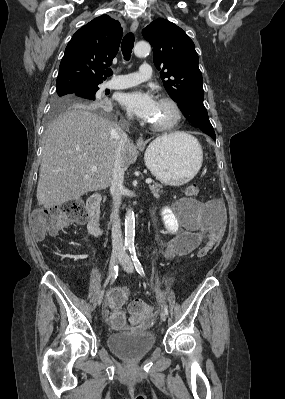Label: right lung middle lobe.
I'll list each match as a JSON object with an SVG mask.
<instances>
[{
	"label": "right lung middle lobe",
	"instance_id": "1",
	"mask_svg": "<svg viewBox=\"0 0 285 399\" xmlns=\"http://www.w3.org/2000/svg\"><path fill=\"white\" fill-rule=\"evenodd\" d=\"M54 99L52 118L61 112L78 107L104 108V102L96 96L98 87L88 89H59Z\"/></svg>",
	"mask_w": 285,
	"mask_h": 399
}]
</instances>
